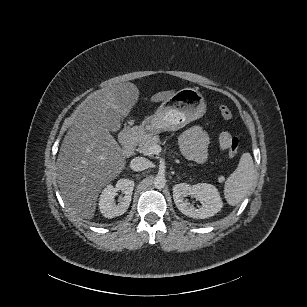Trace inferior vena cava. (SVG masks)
<instances>
[{"label": "inferior vena cava", "instance_id": "obj_1", "mask_svg": "<svg viewBox=\"0 0 307 307\" xmlns=\"http://www.w3.org/2000/svg\"><path fill=\"white\" fill-rule=\"evenodd\" d=\"M150 166V161L144 157H136L131 161V168L134 171H143Z\"/></svg>", "mask_w": 307, "mask_h": 307}]
</instances>
